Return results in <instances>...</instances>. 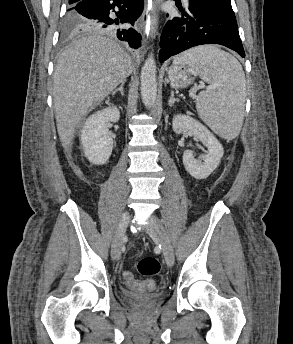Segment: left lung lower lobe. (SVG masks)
<instances>
[{
  "label": "left lung lower lobe",
  "mask_w": 293,
  "mask_h": 344,
  "mask_svg": "<svg viewBox=\"0 0 293 344\" xmlns=\"http://www.w3.org/2000/svg\"><path fill=\"white\" fill-rule=\"evenodd\" d=\"M187 10L177 4L180 17L164 27L161 36L160 61L186 49L203 44H220L245 57L238 26L200 0H189Z\"/></svg>",
  "instance_id": "0a47b994"
}]
</instances>
